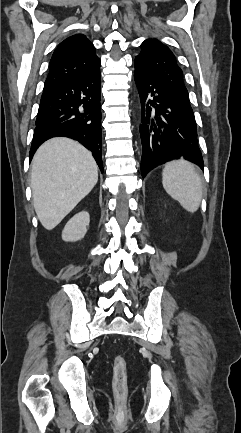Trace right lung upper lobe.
<instances>
[{
    "label": "right lung upper lobe",
    "instance_id": "right-lung-upper-lobe-1",
    "mask_svg": "<svg viewBox=\"0 0 241 433\" xmlns=\"http://www.w3.org/2000/svg\"><path fill=\"white\" fill-rule=\"evenodd\" d=\"M94 45L83 34H76L61 42L49 63L45 87L73 77L88 74L100 67Z\"/></svg>",
    "mask_w": 241,
    "mask_h": 433
}]
</instances>
